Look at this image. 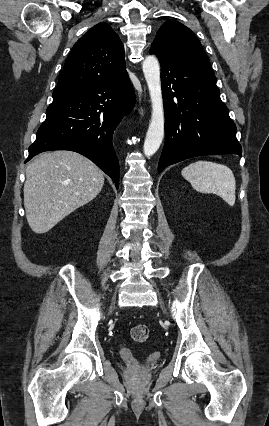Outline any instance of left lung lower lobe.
Here are the masks:
<instances>
[{
	"label": "left lung lower lobe",
	"instance_id": "left-lung-lower-lobe-1",
	"mask_svg": "<svg viewBox=\"0 0 269 426\" xmlns=\"http://www.w3.org/2000/svg\"><path fill=\"white\" fill-rule=\"evenodd\" d=\"M155 55L161 65L165 111V144L158 172L195 156H241L236 126L220 99L215 74L180 60Z\"/></svg>",
	"mask_w": 269,
	"mask_h": 426
}]
</instances>
